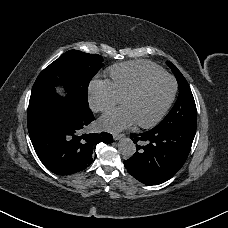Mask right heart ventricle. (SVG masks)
<instances>
[{"instance_id": "1", "label": "right heart ventricle", "mask_w": 228, "mask_h": 228, "mask_svg": "<svg viewBox=\"0 0 228 228\" xmlns=\"http://www.w3.org/2000/svg\"><path fill=\"white\" fill-rule=\"evenodd\" d=\"M163 73L164 70L157 65L143 62L119 64L110 71L111 82L120 98H125L144 79Z\"/></svg>"}]
</instances>
